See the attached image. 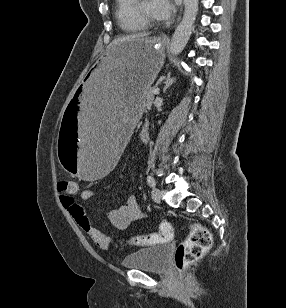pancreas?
Masks as SVG:
<instances>
[{"instance_id": "obj_1", "label": "pancreas", "mask_w": 286, "mask_h": 308, "mask_svg": "<svg viewBox=\"0 0 286 308\" xmlns=\"http://www.w3.org/2000/svg\"><path fill=\"white\" fill-rule=\"evenodd\" d=\"M153 89H154V87H148V88L145 89V91L143 93V97L146 100L147 108L151 107L152 102L154 100Z\"/></svg>"}]
</instances>
